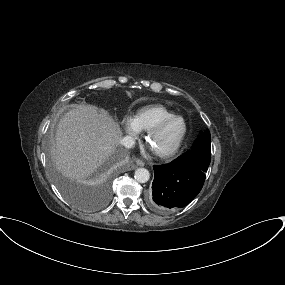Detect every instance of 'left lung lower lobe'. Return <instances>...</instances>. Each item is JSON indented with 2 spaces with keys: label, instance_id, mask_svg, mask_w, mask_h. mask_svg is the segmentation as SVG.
<instances>
[{
  "label": "left lung lower lobe",
  "instance_id": "0a47b994",
  "mask_svg": "<svg viewBox=\"0 0 285 285\" xmlns=\"http://www.w3.org/2000/svg\"><path fill=\"white\" fill-rule=\"evenodd\" d=\"M153 169L155 176L148 202L161 213L188 205L202 189L206 176L200 169L175 162L154 166Z\"/></svg>",
  "mask_w": 285,
  "mask_h": 285
}]
</instances>
